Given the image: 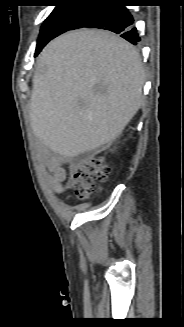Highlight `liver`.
I'll list each match as a JSON object with an SVG mask.
<instances>
[{
	"label": "liver",
	"mask_w": 184,
	"mask_h": 327,
	"mask_svg": "<svg viewBox=\"0 0 184 327\" xmlns=\"http://www.w3.org/2000/svg\"><path fill=\"white\" fill-rule=\"evenodd\" d=\"M30 97L34 135L72 158L111 145L142 104L137 50L108 31L78 30L41 52Z\"/></svg>",
	"instance_id": "6515ba94"
}]
</instances>
